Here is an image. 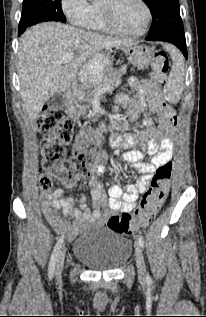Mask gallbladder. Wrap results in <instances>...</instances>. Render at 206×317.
Returning <instances> with one entry per match:
<instances>
[{
  "instance_id": "bac80fb5",
  "label": "gallbladder",
  "mask_w": 206,
  "mask_h": 317,
  "mask_svg": "<svg viewBox=\"0 0 206 317\" xmlns=\"http://www.w3.org/2000/svg\"><path fill=\"white\" fill-rule=\"evenodd\" d=\"M65 103V96L63 93H57L51 96L47 104L51 109H59L61 108Z\"/></svg>"
}]
</instances>
